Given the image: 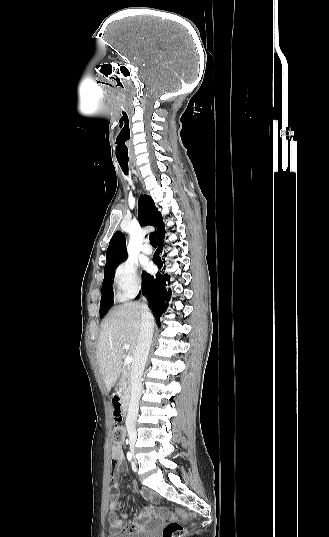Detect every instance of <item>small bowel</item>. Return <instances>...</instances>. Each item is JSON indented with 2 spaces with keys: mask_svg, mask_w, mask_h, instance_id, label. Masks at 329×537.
Returning <instances> with one entry per match:
<instances>
[{
  "mask_svg": "<svg viewBox=\"0 0 329 537\" xmlns=\"http://www.w3.org/2000/svg\"><path fill=\"white\" fill-rule=\"evenodd\" d=\"M122 409L120 407L114 408L112 413V420L114 423L119 424L123 421V416L121 415ZM111 463H110V472L113 480V485L111 487L109 509L110 513L108 514V521L110 523L111 529L125 533H139L144 531H149L157 527L158 523L165 519L167 516V511L162 507H156L153 505L147 506L142 512H140L136 520L124 524V521L128 519V514L124 513L121 517H118L115 513V510L119 506V490H118V473L122 469V464L124 460V453L122 444L113 445L111 449ZM135 487V485H134ZM144 496L147 497L152 502H157V497L150 493L149 491L143 492Z\"/></svg>",
  "mask_w": 329,
  "mask_h": 537,
  "instance_id": "small-bowel-1",
  "label": "small bowel"
}]
</instances>
